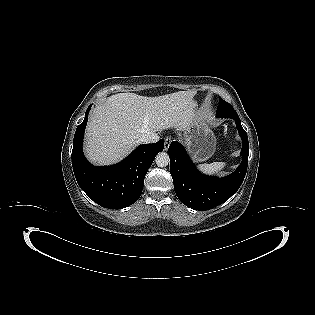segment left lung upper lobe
<instances>
[{
  "instance_id": "obj_1",
  "label": "left lung upper lobe",
  "mask_w": 315,
  "mask_h": 315,
  "mask_svg": "<svg viewBox=\"0 0 315 315\" xmlns=\"http://www.w3.org/2000/svg\"><path fill=\"white\" fill-rule=\"evenodd\" d=\"M216 116L221 117V118H232V119L239 118L234 108L221 98L219 99V105L217 108Z\"/></svg>"
}]
</instances>
